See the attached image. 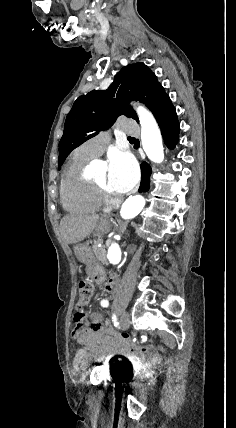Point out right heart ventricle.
Wrapping results in <instances>:
<instances>
[{
	"label": "right heart ventricle",
	"instance_id": "right-heart-ventricle-1",
	"mask_svg": "<svg viewBox=\"0 0 236 428\" xmlns=\"http://www.w3.org/2000/svg\"><path fill=\"white\" fill-rule=\"evenodd\" d=\"M85 146L76 149L60 182V196L68 211L96 212L102 207L93 180L85 174V168L93 160L85 152Z\"/></svg>",
	"mask_w": 236,
	"mask_h": 428
}]
</instances>
